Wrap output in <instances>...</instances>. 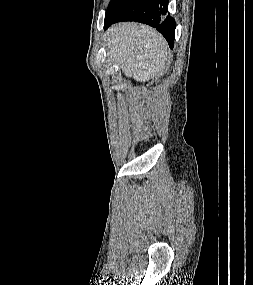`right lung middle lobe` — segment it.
<instances>
[{"label":"right lung middle lobe","mask_w":253,"mask_h":285,"mask_svg":"<svg viewBox=\"0 0 253 285\" xmlns=\"http://www.w3.org/2000/svg\"><path fill=\"white\" fill-rule=\"evenodd\" d=\"M115 0H111V2L109 3L108 8L110 7V5L114 2Z\"/></svg>","instance_id":"dd1d6c3e"}]
</instances>
